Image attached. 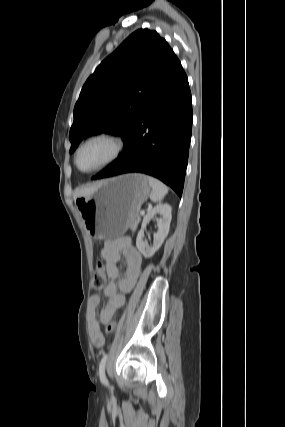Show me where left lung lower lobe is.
<instances>
[{
    "mask_svg": "<svg viewBox=\"0 0 285 427\" xmlns=\"http://www.w3.org/2000/svg\"><path fill=\"white\" fill-rule=\"evenodd\" d=\"M192 130V99L187 76L172 51L145 108L125 141L122 156L93 179L140 172L182 195Z\"/></svg>",
    "mask_w": 285,
    "mask_h": 427,
    "instance_id": "obj_1",
    "label": "left lung lower lobe"
}]
</instances>
